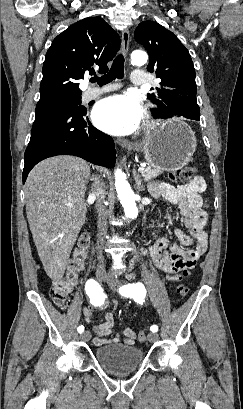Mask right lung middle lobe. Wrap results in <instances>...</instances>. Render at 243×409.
<instances>
[{
	"label": "right lung middle lobe",
	"mask_w": 243,
	"mask_h": 409,
	"mask_svg": "<svg viewBox=\"0 0 243 409\" xmlns=\"http://www.w3.org/2000/svg\"><path fill=\"white\" fill-rule=\"evenodd\" d=\"M54 105V106H63V107H69L73 109H85L84 106L80 105L81 104V95L75 96V97H66V98H55V99H50L42 102H38L37 105Z\"/></svg>",
	"instance_id": "1"
}]
</instances>
